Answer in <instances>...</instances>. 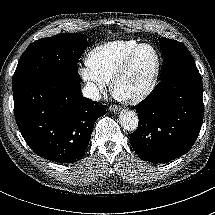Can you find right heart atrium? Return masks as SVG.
I'll return each instance as SVG.
<instances>
[{
  "label": "right heart atrium",
  "mask_w": 215,
  "mask_h": 215,
  "mask_svg": "<svg viewBox=\"0 0 215 215\" xmlns=\"http://www.w3.org/2000/svg\"><path fill=\"white\" fill-rule=\"evenodd\" d=\"M79 75L81 77V80L88 87L92 97L94 99L100 98L105 89L104 84L92 78L90 75H88L87 72L79 71Z\"/></svg>",
  "instance_id": "obj_1"
}]
</instances>
